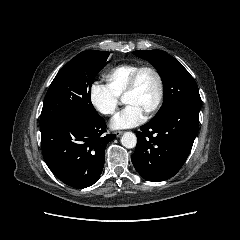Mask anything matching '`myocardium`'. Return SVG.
Masks as SVG:
<instances>
[{"mask_svg":"<svg viewBox=\"0 0 240 240\" xmlns=\"http://www.w3.org/2000/svg\"><path fill=\"white\" fill-rule=\"evenodd\" d=\"M144 71H150L151 73H153L157 81V97L153 105L145 112L146 115H152L159 109L164 97V81L161 73L154 66L144 65V66L138 67L135 70V72L131 75L123 97L125 99L127 95H129L136 89L139 77Z\"/></svg>","mask_w":240,"mask_h":240,"instance_id":"1","label":"myocardium"}]
</instances>
